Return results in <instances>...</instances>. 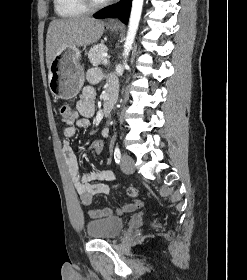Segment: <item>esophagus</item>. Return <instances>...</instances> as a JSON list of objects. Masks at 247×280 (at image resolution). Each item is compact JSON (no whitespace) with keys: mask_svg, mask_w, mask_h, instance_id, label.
I'll return each instance as SVG.
<instances>
[{"mask_svg":"<svg viewBox=\"0 0 247 280\" xmlns=\"http://www.w3.org/2000/svg\"><path fill=\"white\" fill-rule=\"evenodd\" d=\"M109 24H117V20L116 19H111V20H109Z\"/></svg>","mask_w":247,"mask_h":280,"instance_id":"34e87169","label":"esophagus"}]
</instances>
